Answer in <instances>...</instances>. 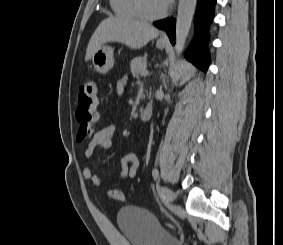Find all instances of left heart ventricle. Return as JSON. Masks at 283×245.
<instances>
[{"label":"left heart ventricle","instance_id":"1","mask_svg":"<svg viewBox=\"0 0 283 245\" xmlns=\"http://www.w3.org/2000/svg\"><path fill=\"white\" fill-rule=\"evenodd\" d=\"M145 11L149 14L161 12L167 5L164 0H142Z\"/></svg>","mask_w":283,"mask_h":245}]
</instances>
